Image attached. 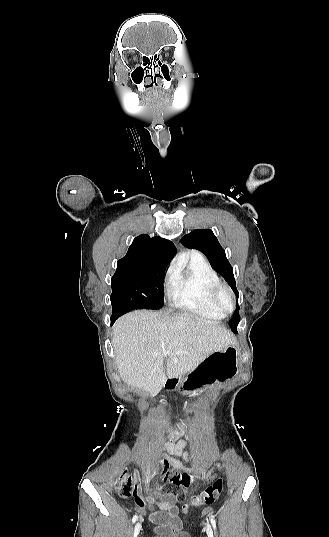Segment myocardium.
<instances>
[{
  "label": "myocardium",
  "mask_w": 329,
  "mask_h": 537,
  "mask_svg": "<svg viewBox=\"0 0 329 537\" xmlns=\"http://www.w3.org/2000/svg\"><path fill=\"white\" fill-rule=\"evenodd\" d=\"M222 293H227L232 300V306L229 310L224 308L223 305L221 304L220 299H221ZM210 297H211V301L213 305L224 315L233 313L237 307V298L233 290L229 286L223 283H218L212 287L210 291Z\"/></svg>",
  "instance_id": "f54148a6"
}]
</instances>
